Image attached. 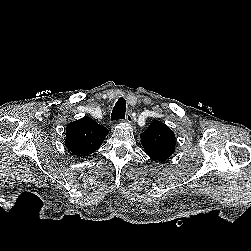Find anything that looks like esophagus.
I'll use <instances>...</instances> for the list:
<instances>
[{
  "mask_svg": "<svg viewBox=\"0 0 251 251\" xmlns=\"http://www.w3.org/2000/svg\"><path fill=\"white\" fill-rule=\"evenodd\" d=\"M125 121L129 124H132L133 123V117L131 115V113H128L125 117Z\"/></svg>",
  "mask_w": 251,
  "mask_h": 251,
  "instance_id": "34e87169",
  "label": "esophagus"
}]
</instances>
